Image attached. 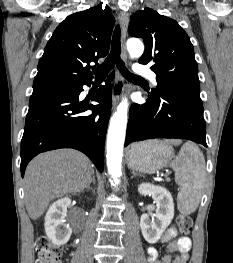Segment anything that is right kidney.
I'll use <instances>...</instances> for the list:
<instances>
[{"instance_id": "1", "label": "right kidney", "mask_w": 233, "mask_h": 263, "mask_svg": "<svg viewBox=\"0 0 233 263\" xmlns=\"http://www.w3.org/2000/svg\"><path fill=\"white\" fill-rule=\"evenodd\" d=\"M70 203V198L59 199L49 207L46 213L45 232L54 245H64L71 237L72 230L68 224H65Z\"/></svg>"}]
</instances>
